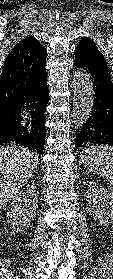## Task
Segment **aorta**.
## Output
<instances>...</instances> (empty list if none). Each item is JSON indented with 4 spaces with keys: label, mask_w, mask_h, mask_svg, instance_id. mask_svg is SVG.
Segmentation results:
<instances>
[{
    "label": "aorta",
    "mask_w": 113,
    "mask_h": 279,
    "mask_svg": "<svg viewBox=\"0 0 113 279\" xmlns=\"http://www.w3.org/2000/svg\"><path fill=\"white\" fill-rule=\"evenodd\" d=\"M73 90V123L83 126L91 115L94 105V90L90 75L83 69H77L72 81Z\"/></svg>",
    "instance_id": "1"
}]
</instances>
